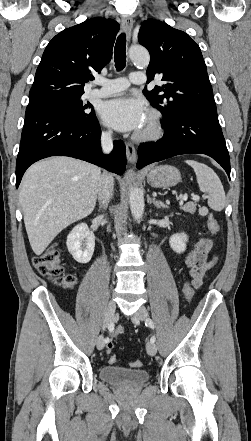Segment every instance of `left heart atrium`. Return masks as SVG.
Listing matches in <instances>:
<instances>
[{
	"label": "left heart atrium",
	"instance_id": "obj_1",
	"mask_svg": "<svg viewBox=\"0 0 251 441\" xmlns=\"http://www.w3.org/2000/svg\"><path fill=\"white\" fill-rule=\"evenodd\" d=\"M100 116L118 131H140L147 119V109L141 99L121 96L105 101L100 107Z\"/></svg>",
	"mask_w": 251,
	"mask_h": 441
}]
</instances>
